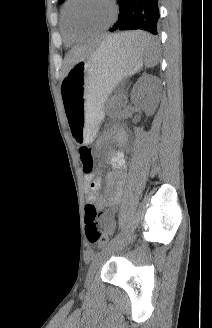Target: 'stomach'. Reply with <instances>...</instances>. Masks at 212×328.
I'll use <instances>...</instances> for the list:
<instances>
[{
  "mask_svg": "<svg viewBox=\"0 0 212 328\" xmlns=\"http://www.w3.org/2000/svg\"><path fill=\"white\" fill-rule=\"evenodd\" d=\"M144 57L142 50L119 46L112 35L94 53L69 69L62 80L61 93L77 143L93 140L109 95L119 82L141 69Z\"/></svg>",
  "mask_w": 212,
  "mask_h": 328,
  "instance_id": "0dacf381",
  "label": "stomach"
}]
</instances>
